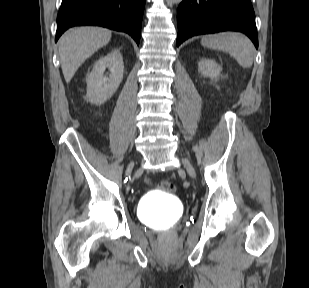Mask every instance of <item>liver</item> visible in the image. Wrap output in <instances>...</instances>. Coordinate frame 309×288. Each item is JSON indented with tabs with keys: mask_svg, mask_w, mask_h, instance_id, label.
Listing matches in <instances>:
<instances>
[{
	"mask_svg": "<svg viewBox=\"0 0 309 288\" xmlns=\"http://www.w3.org/2000/svg\"><path fill=\"white\" fill-rule=\"evenodd\" d=\"M110 39L111 31L101 27H77L66 31L58 42L66 82H70L80 65Z\"/></svg>",
	"mask_w": 309,
	"mask_h": 288,
	"instance_id": "6515ba94",
	"label": "liver"
}]
</instances>
